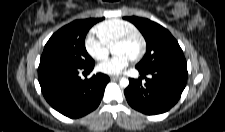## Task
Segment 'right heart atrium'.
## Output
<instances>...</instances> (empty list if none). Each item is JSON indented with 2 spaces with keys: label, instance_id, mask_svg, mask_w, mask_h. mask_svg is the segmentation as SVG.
Segmentation results:
<instances>
[{
  "label": "right heart atrium",
  "instance_id": "obj_1",
  "mask_svg": "<svg viewBox=\"0 0 225 132\" xmlns=\"http://www.w3.org/2000/svg\"><path fill=\"white\" fill-rule=\"evenodd\" d=\"M84 46L89 56L97 61L106 59L109 54V47H107L100 39L96 38L92 33L85 37Z\"/></svg>",
  "mask_w": 225,
  "mask_h": 132
}]
</instances>
